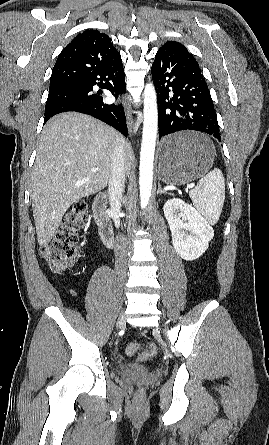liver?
<instances>
[{
	"instance_id": "liver-1",
	"label": "liver",
	"mask_w": 269,
	"mask_h": 445,
	"mask_svg": "<svg viewBox=\"0 0 269 445\" xmlns=\"http://www.w3.org/2000/svg\"><path fill=\"white\" fill-rule=\"evenodd\" d=\"M121 137L103 122L76 112L56 115L47 122L31 176L32 210L41 247L54 237L72 204L107 186L114 143ZM124 161L129 172L133 151L125 140Z\"/></svg>"
}]
</instances>
